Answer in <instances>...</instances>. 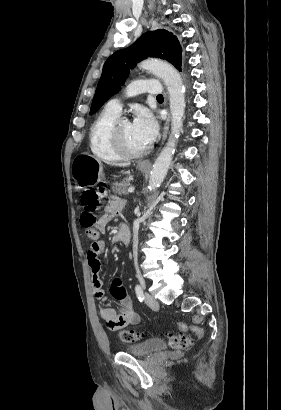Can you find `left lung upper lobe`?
Returning <instances> with one entry per match:
<instances>
[{"instance_id":"left-lung-upper-lobe-1","label":"left lung upper lobe","mask_w":281,"mask_h":410,"mask_svg":"<svg viewBox=\"0 0 281 410\" xmlns=\"http://www.w3.org/2000/svg\"><path fill=\"white\" fill-rule=\"evenodd\" d=\"M148 57L167 60L181 71V46L176 36L164 29L146 32L133 45L116 51L107 59L92 101L90 115L120 90L129 68L135 67L137 62Z\"/></svg>"}]
</instances>
